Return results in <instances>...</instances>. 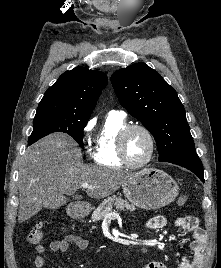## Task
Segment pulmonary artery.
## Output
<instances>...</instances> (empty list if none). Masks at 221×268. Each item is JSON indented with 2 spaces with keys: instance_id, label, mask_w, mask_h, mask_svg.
<instances>
[{
  "instance_id": "obj_1",
  "label": "pulmonary artery",
  "mask_w": 221,
  "mask_h": 268,
  "mask_svg": "<svg viewBox=\"0 0 221 268\" xmlns=\"http://www.w3.org/2000/svg\"><path fill=\"white\" fill-rule=\"evenodd\" d=\"M110 113H115V114H118L120 116H124L125 115V112L124 111H111Z\"/></svg>"
}]
</instances>
